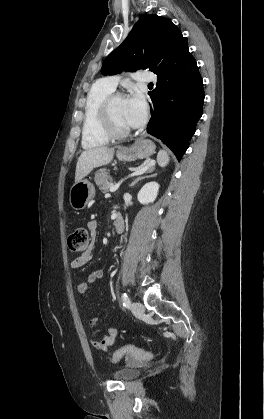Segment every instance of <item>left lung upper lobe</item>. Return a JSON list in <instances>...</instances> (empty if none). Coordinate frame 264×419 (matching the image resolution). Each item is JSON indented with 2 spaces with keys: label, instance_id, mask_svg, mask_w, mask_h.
I'll return each mask as SVG.
<instances>
[{
  "label": "left lung upper lobe",
  "instance_id": "1",
  "mask_svg": "<svg viewBox=\"0 0 264 419\" xmlns=\"http://www.w3.org/2000/svg\"><path fill=\"white\" fill-rule=\"evenodd\" d=\"M180 35L181 31L169 19L144 15L134 25L125 41L105 58L101 72L104 75H114L123 70L149 69L156 73L164 50Z\"/></svg>",
  "mask_w": 264,
  "mask_h": 419
}]
</instances>
